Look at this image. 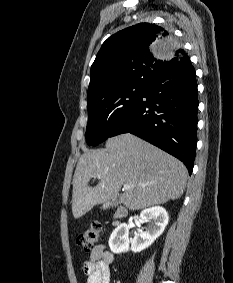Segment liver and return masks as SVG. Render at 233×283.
I'll list each match as a JSON object with an SVG mask.
<instances>
[{"label":"liver","mask_w":233,"mask_h":283,"mask_svg":"<svg viewBox=\"0 0 233 283\" xmlns=\"http://www.w3.org/2000/svg\"><path fill=\"white\" fill-rule=\"evenodd\" d=\"M99 175V177H97ZM98 178L95 187L89 181ZM187 169L177 158L130 133L111 137L104 150L86 151L73 176L72 213L78 219L95 205L117 196L130 210L145 209L181 197Z\"/></svg>","instance_id":"6515ba94"}]
</instances>
